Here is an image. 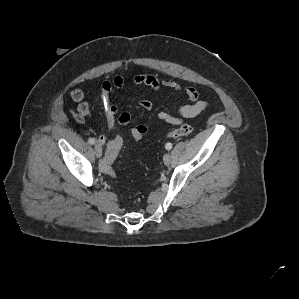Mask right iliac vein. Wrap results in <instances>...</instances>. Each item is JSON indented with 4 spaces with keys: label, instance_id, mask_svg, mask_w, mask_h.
<instances>
[{
    "label": "right iliac vein",
    "instance_id": "63e3f726",
    "mask_svg": "<svg viewBox=\"0 0 299 299\" xmlns=\"http://www.w3.org/2000/svg\"><path fill=\"white\" fill-rule=\"evenodd\" d=\"M94 153L96 155V157L100 158L102 156V148L99 144H96L94 146Z\"/></svg>",
    "mask_w": 299,
    "mask_h": 299
}]
</instances>
